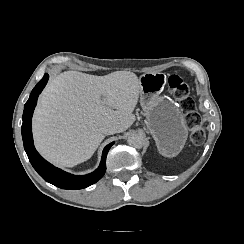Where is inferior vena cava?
<instances>
[{
	"label": "inferior vena cava",
	"instance_id": "inferior-vena-cava-1",
	"mask_svg": "<svg viewBox=\"0 0 244 244\" xmlns=\"http://www.w3.org/2000/svg\"><path fill=\"white\" fill-rule=\"evenodd\" d=\"M114 133H117L116 126H114L113 124L107 123L104 126V134L105 135H110V134H114Z\"/></svg>",
	"mask_w": 244,
	"mask_h": 244
}]
</instances>
